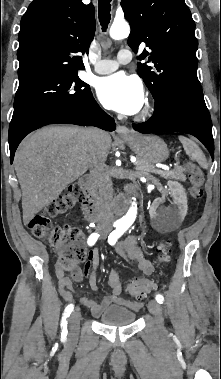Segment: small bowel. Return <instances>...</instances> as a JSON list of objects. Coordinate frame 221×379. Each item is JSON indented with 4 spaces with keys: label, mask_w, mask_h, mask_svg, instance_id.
Listing matches in <instances>:
<instances>
[{
    "label": "small bowel",
    "mask_w": 221,
    "mask_h": 379,
    "mask_svg": "<svg viewBox=\"0 0 221 379\" xmlns=\"http://www.w3.org/2000/svg\"><path fill=\"white\" fill-rule=\"evenodd\" d=\"M118 253L125 257L130 263L136 264L139 270L145 274L150 275L154 272V266L151 261L146 257V254L139 247L137 238L134 234H130L123 243L117 248ZM99 264V252L97 249H91L88 253V261L82 268L75 265L71 268V278L67 277L64 270L56 266V275L58 285L63 298L67 301H74L75 298L72 294L73 281L79 282L83 279L84 275L88 276L90 287L93 291L98 290L95 270ZM107 284L110 288V293L106 295L101 302L95 299L82 297L79 302L90 309L94 316H99L105 308L113 303L126 306L131 309H138L139 302H132L121 297L123 290L122 283L118 271L111 267L108 271Z\"/></svg>",
    "instance_id": "obj_1"
}]
</instances>
